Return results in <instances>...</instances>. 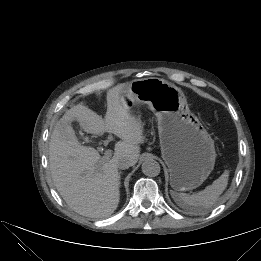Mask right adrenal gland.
I'll return each mask as SVG.
<instances>
[{"instance_id":"1","label":"right adrenal gland","mask_w":261,"mask_h":261,"mask_svg":"<svg viewBox=\"0 0 261 261\" xmlns=\"http://www.w3.org/2000/svg\"><path fill=\"white\" fill-rule=\"evenodd\" d=\"M120 175H121V172H119V177H120Z\"/></svg>"}]
</instances>
